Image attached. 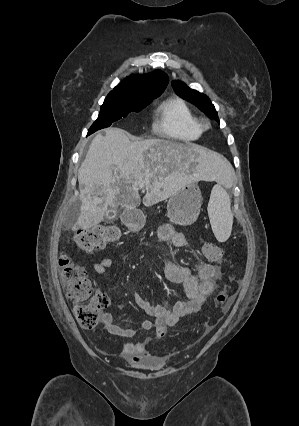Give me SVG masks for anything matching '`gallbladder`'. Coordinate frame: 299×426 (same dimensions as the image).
I'll return each mask as SVG.
<instances>
[{"instance_id":"gallbladder-1","label":"gallbladder","mask_w":299,"mask_h":426,"mask_svg":"<svg viewBox=\"0 0 299 426\" xmlns=\"http://www.w3.org/2000/svg\"><path fill=\"white\" fill-rule=\"evenodd\" d=\"M116 215H117V210L111 209V210H109L105 219H106L107 222H112L115 219Z\"/></svg>"}]
</instances>
